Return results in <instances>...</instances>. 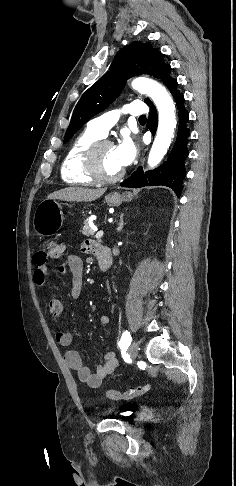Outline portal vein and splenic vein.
I'll return each mask as SVG.
<instances>
[{"mask_svg":"<svg viewBox=\"0 0 236 486\" xmlns=\"http://www.w3.org/2000/svg\"><path fill=\"white\" fill-rule=\"evenodd\" d=\"M103 234H104L103 231H97V233L95 235L96 239H100L101 237H103Z\"/></svg>","mask_w":236,"mask_h":486,"instance_id":"1","label":"portal vein and splenic vein"}]
</instances>
